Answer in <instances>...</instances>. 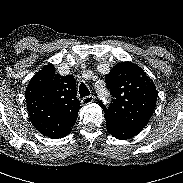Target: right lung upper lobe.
Instances as JSON below:
<instances>
[{
    "label": "right lung upper lobe",
    "instance_id": "obj_1",
    "mask_svg": "<svg viewBox=\"0 0 183 183\" xmlns=\"http://www.w3.org/2000/svg\"><path fill=\"white\" fill-rule=\"evenodd\" d=\"M76 95V82L73 76L55 74V67L52 64L43 67L30 80L25 92L33 126L49 138L67 136L76 122L80 109Z\"/></svg>",
    "mask_w": 183,
    "mask_h": 183
}]
</instances>
